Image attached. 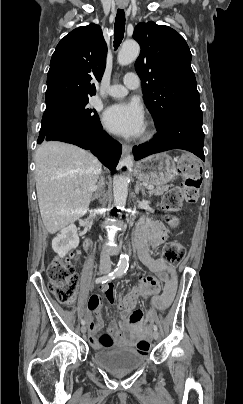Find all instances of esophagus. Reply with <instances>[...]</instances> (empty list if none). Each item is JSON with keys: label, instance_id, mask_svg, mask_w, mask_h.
<instances>
[{"label": "esophagus", "instance_id": "1", "mask_svg": "<svg viewBox=\"0 0 243 404\" xmlns=\"http://www.w3.org/2000/svg\"><path fill=\"white\" fill-rule=\"evenodd\" d=\"M131 149H132V146H131V145L123 144V146H122L123 155L129 154L130 151H131Z\"/></svg>", "mask_w": 243, "mask_h": 404}]
</instances>
